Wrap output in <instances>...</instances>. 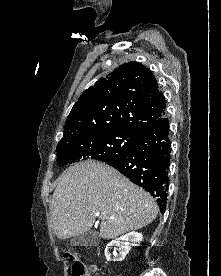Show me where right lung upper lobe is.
<instances>
[{
	"instance_id": "right-lung-upper-lobe-1",
	"label": "right lung upper lobe",
	"mask_w": 221,
	"mask_h": 276,
	"mask_svg": "<svg viewBox=\"0 0 221 276\" xmlns=\"http://www.w3.org/2000/svg\"><path fill=\"white\" fill-rule=\"evenodd\" d=\"M165 114V99L151 71L128 62L81 94L60 142L108 132L138 136Z\"/></svg>"
}]
</instances>
